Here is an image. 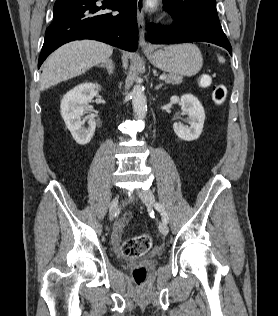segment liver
<instances>
[{
  "mask_svg": "<svg viewBox=\"0 0 278 316\" xmlns=\"http://www.w3.org/2000/svg\"><path fill=\"white\" fill-rule=\"evenodd\" d=\"M113 48L95 40L67 43L53 52L45 61L40 80V89L45 90L62 81L84 74L95 65L106 61ZM127 68V56L122 57Z\"/></svg>",
  "mask_w": 278,
  "mask_h": 316,
  "instance_id": "obj_1",
  "label": "liver"
}]
</instances>
